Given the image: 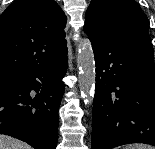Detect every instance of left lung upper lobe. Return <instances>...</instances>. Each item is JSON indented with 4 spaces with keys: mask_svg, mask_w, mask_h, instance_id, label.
<instances>
[{
    "mask_svg": "<svg viewBox=\"0 0 155 149\" xmlns=\"http://www.w3.org/2000/svg\"><path fill=\"white\" fill-rule=\"evenodd\" d=\"M149 20L134 0H92L84 31L93 38L148 32Z\"/></svg>",
    "mask_w": 155,
    "mask_h": 149,
    "instance_id": "1",
    "label": "left lung upper lobe"
}]
</instances>
